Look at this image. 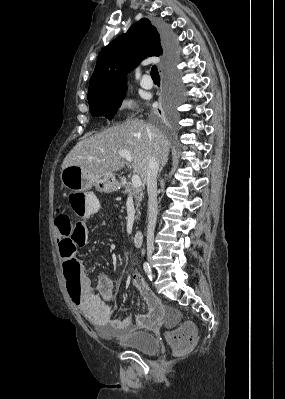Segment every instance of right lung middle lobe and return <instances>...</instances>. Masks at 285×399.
I'll return each mask as SVG.
<instances>
[{"mask_svg": "<svg viewBox=\"0 0 285 399\" xmlns=\"http://www.w3.org/2000/svg\"><path fill=\"white\" fill-rule=\"evenodd\" d=\"M124 91L113 94L99 95L93 99H89V108L92 116H104L112 119L117 108L124 99Z\"/></svg>", "mask_w": 285, "mask_h": 399, "instance_id": "dd1d6c3e", "label": "right lung middle lobe"}]
</instances>
